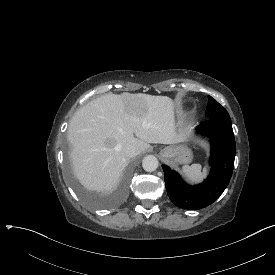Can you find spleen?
I'll return each mask as SVG.
<instances>
[{
    "instance_id": "3e777b00",
    "label": "spleen",
    "mask_w": 275,
    "mask_h": 275,
    "mask_svg": "<svg viewBox=\"0 0 275 275\" xmlns=\"http://www.w3.org/2000/svg\"><path fill=\"white\" fill-rule=\"evenodd\" d=\"M181 173L186 181L191 185L203 183L209 176V167L205 165L202 168L201 164H192L191 166H183Z\"/></svg>"
}]
</instances>
